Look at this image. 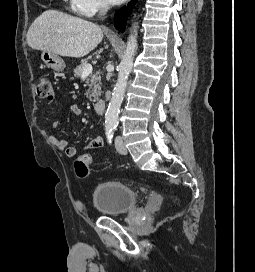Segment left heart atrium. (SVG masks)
<instances>
[{
    "label": "left heart atrium",
    "mask_w": 255,
    "mask_h": 272,
    "mask_svg": "<svg viewBox=\"0 0 255 272\" xmlns=\"http://www.w3.org/2000/svg\"><path fill=\"white\" fill-rule=\"evenodd\" d=\"M124 0H108L109 3L111 4H119L121 2H123Z\"/></svg>",
    "instance_id": "1"
}]
</instances>
